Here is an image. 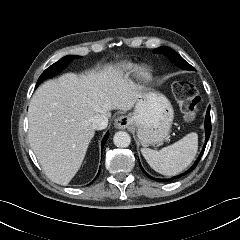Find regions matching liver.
<instances>
[{
	"label": "liver",
	"instance_id": "liver-1",
	"mask_svg": "<svg viewBox=\"0 0 240 240\" xmlns=\"http://www.w3.org/2000/svg\"><path fill=\"white\" fill-rule=\"evenodd\" d=\"M142 93L112 65L82 75L67 73L42 84L29 104L28 138L46 176L67 185L94 137L92 118L131 110Z\"/></svg>",
	"mask_w": 240,
	"mask_h": 240
}]
</instances>
